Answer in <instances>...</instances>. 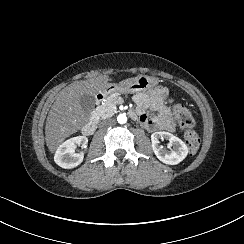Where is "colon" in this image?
<instances>
[{
    "mask_svg": "<svg viewBox=\"0 0 244 244\" xmlns=\"http://www.w3.org/2000/svg\"><path fill=\"white\" fill-rule=\"evenodd\" d=\"M179 127L181 131L187 135L188 138V146L191 154L197 153L200 141L197 138V135L194 133V117L190 110L185 109L183 107H179L175 110Z\"/></svg>",
    "mask_w": 244,
    "mask_h": 244,
    "instance_id": "5ec220e1",
    "label": "colon"
}]
</instances>
